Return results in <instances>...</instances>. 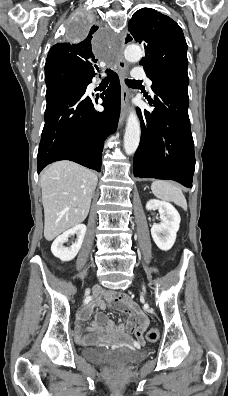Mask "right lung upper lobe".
Segmentation results:
<instances>
[{"label": "right lung upper lobe", "instance_id": "cb5924a9", "mask_svg": "<svg viewBox=\"0 0 228 396\" xmlns=\"http://www.w3.org/2000/svg\"><path fill=\"white\" fill-rule=\"evenodd\" d=\"M97 29L98 27L91 28L88 36L80 42L54 45L47 56L45 74L67 71L80 77L95 76L93 65L97 59L92 52V34Z\"/></svg>", "mask_w": 228, "mask_h": 396}]
</instances>
